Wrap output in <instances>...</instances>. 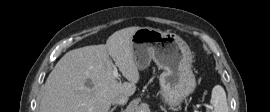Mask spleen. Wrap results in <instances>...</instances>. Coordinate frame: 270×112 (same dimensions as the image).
Instances as JSON below:
<instances>
[{
  "instance_id": "1",
  "label": "spleen",
  "mask_w": 270,
  "mask_h": 112,
  "mask_svg": "<svg viewBox=\"0 0 270 112\" xmlns=\"http://www.w3.org/2000/svg\"><path fill=\"white\" fill-rule=\"evenodd\" d=\"M211 104L214 106L212 112H228L226 93L222 86L216 85L213 88Z\"/></svg>"
}]
</instances>
